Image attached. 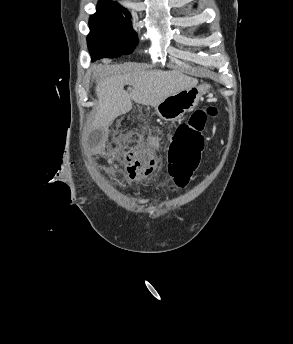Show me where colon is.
Segmentation results:
<instances>
[{"mask_svg": "<svg viewBox=\"0 0 293 344\" xmlns=\"http://www.w3.org/2000/svg\"><path fill=\"white\" fill-rule=\"evenodd\" d=\"M218 109L208 107L192 112L175 130L170 144L172 176L175 188H182L189 182L197 168L204 149L203 132L208 119L216 116ZM125 166L129 181L143 183L148 180L154 167L152 149L139 145L125 155Z\"/></svg>", "mask_w": 293, "mask_h": 344, "instance_id": "1", "label": "colon"}]
</instances>
